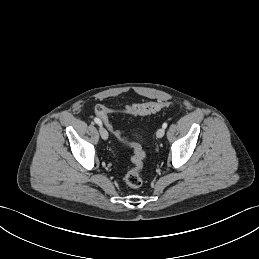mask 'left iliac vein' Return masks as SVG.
Segmentation results:
<instances>
[{"label": "left iliac vein", "mask_w": 259, "mask_h": 259, "mask_svg": "<svg viewBox=\"0 0 259 259\" xmlns=\"http://www.w3.org/2000/svg\"><path fill=\"white\" fill-rule=\"evenodd\" d=\"M165 134V129L164 128H160L157 133H156V136L157 138H162Z\"/></svg>", "instance_id": "1"}]
</instances>
